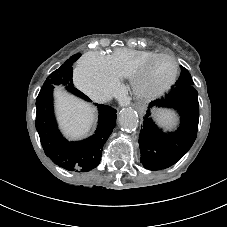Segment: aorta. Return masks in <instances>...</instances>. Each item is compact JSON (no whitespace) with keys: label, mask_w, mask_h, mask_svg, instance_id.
Masks as SVG:
<instances>
[{"label":"aorta","mask_w":227,"mask_h":227,"mask_svg":"<svg viewBox=\"0 0 227 227\" xmlns=\"http://www.w3.org/2000/svg\"><path fill=\"white\" fill-rule=\"evenodd\" d=\"M121 128L127 132L134 131L138 127L137 112L131 108L123 109L118 118Z\"/></svg>","instance_id":"aorta-1"}]
</instances>
